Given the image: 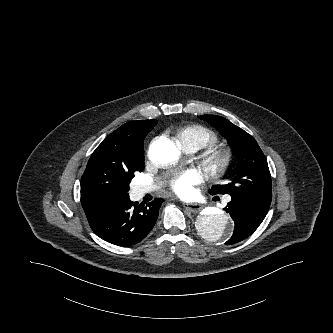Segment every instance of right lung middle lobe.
I'll return each mask as SVG.
<instances>
[{"label":"right lung middle lobe","instance_id":"right-lung-middle-lobe-1","mask_svg":"<svg viewBox=\"0 0 333 333\" xmlns=\"http://www.w3.org/2000/svg\"><path fill=\"white\" fill-rule=\"evenodd\" d=\"M144 132L147 135L157 124L156 120L144 121ZM143 170V157L130 161L125 165L99 166L92 177L93 187L102 195L114 201L128 198L129 184L136 171Z\"/></svg>","mask_w":333,"mask_h":333}]
</instances>
